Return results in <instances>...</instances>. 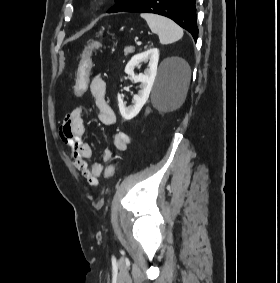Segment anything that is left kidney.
<instances>
[{
    "instance_id": "obj_1",
    "label": "left kidney",
    "mask_w": 280,
    "mask_h": 283,
    "mask_svg": "<svg viewBox=\"0 0 280 283\" xmlns=\"http://www.w3.org/2000/svg\"><path fill=\"white\" fill-rule=\"evenodd\" d=\"M159 61V50L157 48L149 49L145 52L134 55L125 67V73L132 76L134 82H140V89L137 95L133 97V105L126 107L123 99L118 93V106L121 116L125 120H131L142 109L144 104L149 98V94L152 90L155 77L157 75V66ZM142 62L148 63V68L144 71V74L135 75L134 69ZM184 64V62H182Z\"/></svg>"
}]
</instances>
